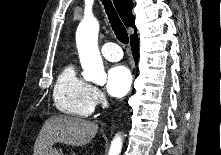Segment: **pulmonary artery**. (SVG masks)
Here are the masks:
<instances>
[{"label": "pulmonary artery", "mask_w": 221, "mask_h": 155, "mask_svg": "<svg viewBox=\"0 0 221 155\" xmlns=\"http://www.w3.org/2000/svg\"><path fill=\"white\" fill-rule=\"evenodd\" d=\"M102 55L109 61H119L122 58V50L118 44L108 42L101 48Z\"/></svg>", "instance_id": "1"}]
</instances>
